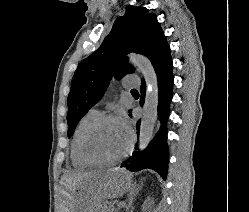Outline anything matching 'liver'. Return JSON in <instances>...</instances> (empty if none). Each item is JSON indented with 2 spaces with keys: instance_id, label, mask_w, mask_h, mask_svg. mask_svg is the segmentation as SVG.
<instances>
[{
  "instance_id": "obj_1",
  "label": "liver",
  "mask_w": 249,
  "mask_h": 212,
  "mask_svg": "<svg viewBox=\"0 0 249 212\" xmlns=\"http://www.w3.org/2000/svg\"><path fill=\"white\" fill-rule=\"evenodd\" d=\"M68 208L70 212L77 210L76 192L83 182H90L91 190L97 200L92 202L93 210H98L103 200H113V198H121L126 192L133 188L134 184L132 174L117 168V170H106V172H75L68 174Z\"/></svg>"
}]
</instances>
